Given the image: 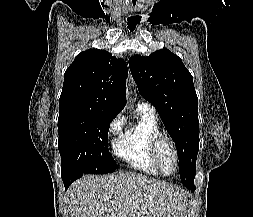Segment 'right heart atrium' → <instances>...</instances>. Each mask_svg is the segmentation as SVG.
<instances>
[{
	"mask_svg": "<svg viewBox=\"0 0 253 217\" xmlns=\"http://www.w3.org/2000/svg\"><path fill=\"white\" fill-rule=\"evenodd\" d=\"M123 124H124L123 117L121 115H117L109 123L108 134L110 136H116V135L120 134Z\"/></svg>",
	"mask_w": 253,
	"mask_h": 217,
	"instance_id": "d8ad5b80",
	"label": "right heart atrium"
}]
</instances>
